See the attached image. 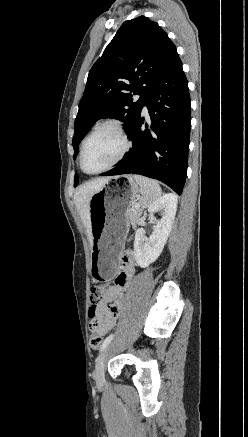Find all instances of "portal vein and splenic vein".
Instances as JSON below:
<instances>
[{"label":"portal vein and splenic vein","instance_id":"18ae733b","mask_svg":"<svg viewBox=\"0 0 248 437\" xmlns=\"http://www.w3.org/2000/svg\"><path fill=\"white\" fill-rule=\"evenodd\" d=\"M134 207H135V208H139V205L136 204V205H134Z\"/></svg>","mask_w":248,"mask_h":437}]
</instances>
